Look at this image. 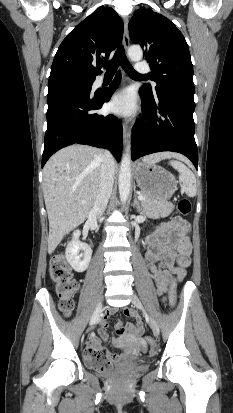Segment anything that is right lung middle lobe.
Listing matches in <instances>:
<instances>
[{
    "instance_id": "dd1d6c3e",
    "label": "right lung middle lobe",
    "mask_w": 233,
    "mask_h": 413,
    "mask_svg": "<svg viewBox=\"0 0 233 413\" xmlns=\"http://www.w3.org/2000/svg\"><path fill=\"white\" fill-rule=\"evenodd\" d=\"M60 83L81 84L91 89L93 81H92V78L67 77V78H61V79L54 80V81H49L48 86H52V85L60 84Z\"/></svg>"
}]
</instances>
